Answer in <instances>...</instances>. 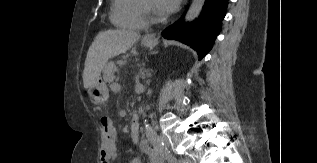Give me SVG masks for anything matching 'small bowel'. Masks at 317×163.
I'll list each match as a JSON object with an SVG mask.
<instances>
[{
  "label": "small bowel",
  "mask_w": 317,
  "mask_h": 163,
  "mask_svg": "<svg viewBox=\"0 0 317 163\" xmlns=\"http://www.w3.org/2000/svg\"><path fill=\"white\" fill-rule=\"evenodd\" d=\"M141 149L148 156V163H164V160L144 141ZM117 158L116 130L112 122L107 118L101 119V149L99 159L101 163H111ZM131 163H142L139 157L133 158Z\"/></svg>",
  "instance_id": "obj_1"
}]
</instances>
